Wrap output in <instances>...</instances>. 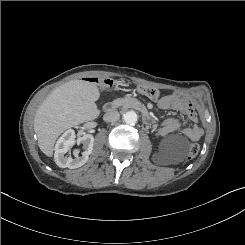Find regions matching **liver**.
<instances>
[{
	"label": "liver",
	"instance_id": "liver-1",
	"mask_svg": "<svg viewBox=\"0 0 245 245\" xmlns=\"http://www.w3.org/2000/svg\"><path fill=\"white\" fill-rule=\"evenodd\" d=\"M96 84L72 80L53 90L39 106L34 131L40 150L51 157L57 138L68 128L96 119L100 111Z\"/></svg>",
	"mask_w": 245,
	"mask_h": 245
}]
</instances>
